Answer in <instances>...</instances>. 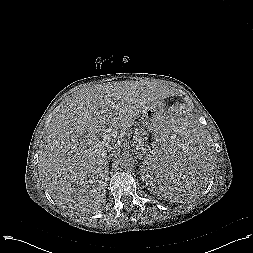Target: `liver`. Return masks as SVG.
<instances>
[{
    "label": "liver",
    "mask_w": 253,
    "mask_h": 253,
    "mask_svg": "<svg viewBox=\"0 0 253 253\" xmlns=\"http://www.w3.org/2000/svg\"><path fill=\"white\" fill-rule=\"evenodd\" d=\"M162 87L124 81L77 92L51 120L40 144L39 174L52 199L81 211L106 200L107 152L160 99Z\"/></svg>",
    "instance_id": "6515ba94"
}]
</instances>
